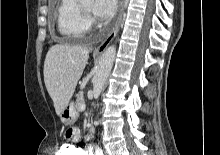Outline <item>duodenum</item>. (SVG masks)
<instances>
[{
	"mask_svg": "<svg viewBox=\"0 0 220 155\" xmlns=\"http://www.w3.org/2000/svg\"><path fill=\"white\" fill-rule=\"evenodd\" d=\"M93 133H94V130L93 129H90V132H89V137H93Z\"/></svg>",
	"mask_w": 220,
	"mask_h": 155,
	"instance_id": "410a0bca",
	"label": "duodenum"
}]
</instances>
